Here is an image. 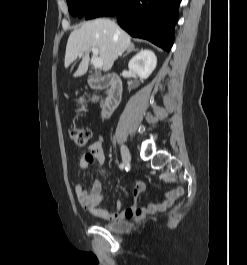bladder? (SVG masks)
<instances>
[{
  "label": "bladder",
  "mask_w": 247,
  "mask_h": 265,
  "mask_svg": "<svg viewBox=\"0 0 247 265\" xmlns=\"http://www.w3.org/2000/svg\"><path fill=\"white\" fill-rule=\"evenodd\" d=\"M102 227L116 233H124L131 229V223L127 220H117L103 223Z\"/></svg>",
  "instance_id": "obj_1"
}]
</instances>
